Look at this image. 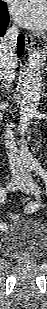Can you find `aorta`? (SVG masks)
Returning a JSON list of instances; mask_svg holds the SVG:
<instances>
[{"label":"aorta","mask_w":47,"mask_h":309,"mask_svg":"<svg viewBox=\"0 0 47 309\" xmlns=\"http://www.w3.org/2000/svg\"><path fill=\"white\" fill-rule=\"evenodd\" d=\"M42 66L43 56L39 50H34L27 61L23 73L22 98L20 104L19 132L20 140L19 154L23 158L31 159L32 155L24 140L30 120L36 115L42 95Z\"/></svg>","instance_id":"obj_1"}]
</instances>
